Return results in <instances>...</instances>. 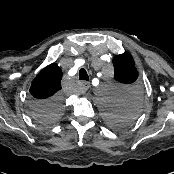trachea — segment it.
<instances>
[{"label": "trachea", "instance_id": "obj_1", "mask_svg": "<svg viewBox=\"0 0 174 174\" xmlns=\"http://www.w3.org/2000/svg\"><path fill=\"white\" fill-rule=\"evenodd\" d=\"M79 79L89 81V76L84 68L80 69L79 71Z\"/></svg>", "mask_w": 174, "mask_h": 174}]
</instances>
